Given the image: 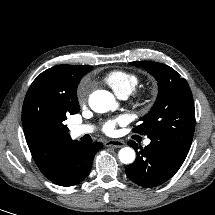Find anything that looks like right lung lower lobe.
<instances>
[{"instance_id":"obj_1","label":"right lung lower lobe","mask_w":215,"mask_h":215,"mask_svg":"<svg viewBox=\"0 0 215 215\" xmlns=\"http://www.w3.org/2000/svg\"><path fill=\"white\" fill-rule=\"evenodd\" d=\"M102 147L100 142L86 144L74 141L62 155L58 175L49 180L66 187L78 184L89 174L93 158Z\"/></svg>"}]
</instances>
